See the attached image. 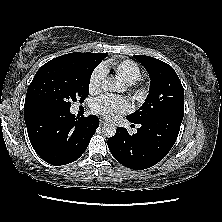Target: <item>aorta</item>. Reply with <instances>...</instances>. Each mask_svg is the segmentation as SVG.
<instances>
[{
    "label": "aorta",
    "mask_w": 222,
    "mask_h": 222,
    "mask_svg": "<svg viewBox=\"0 0 222 222\" xmlns=\"http://www.w3.org/2000/svg\"><path fill=\"white\" fill-rule=\"evenodd\" d=\"M102 88L104 91L107 92H118L120 91V85L115 80H112L111 78L106 79L102 83ZM102 133L110 138L113 137L116 133V127L113 124L107 123L102 127Z\"/></svg>",
    "instance_id": "762f6f07"
}]
</instances>
